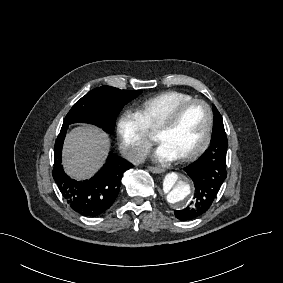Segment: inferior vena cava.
<instances>
[{
  "label": "inferior vena cava",
  "mask_w": 283,
  "mask_h": 283,
  "mask_svg": "<svg viewBox=\"0 0 283 283\" xmlns=\"http://www.w3.org/2000/svg\"><path fill=\"white\" fill-rule=\"evenodd\" d=\"M147 150L137 147L131 146L129 150L125 153V158L134 165H139L144 163L147 157Z\"/></svg>",
  "instance_id": "obj_1"
}]
</instances>
